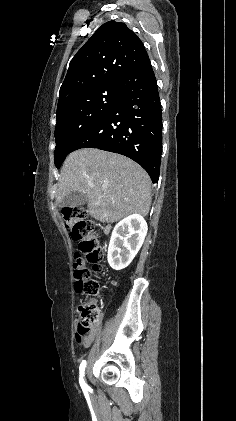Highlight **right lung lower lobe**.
Segmentation results:
<instances>
[{
    "label": "right lung lower lobe",
    "instance_id": "98d812e1",
    "mask_svg": "<svg viewBox=\"0 0 236 421\" xmlns=\"http://www.w3.org/2000/svg\"><path fill=\"white\" fill-rule=\"evenodd\" d=\"M121 98L73 151L88 147L125 155L140 164L157 183L162 154V113L150 61L121 78Z\"/></svg>",
    "mask_w": 236,
    "mask_h": 421
}]
</instances>
